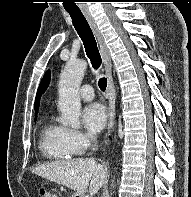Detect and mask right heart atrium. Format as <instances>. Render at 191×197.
<instances>
[{"mask_svg":"<svg viewBox=\"0 0 191 197\" xmlns=\"http://www.w3.org/2000/svg\"><path fill=\"white\" fill-rule=\"evenodd\" d=\"M65 140L68 149L73 154H82L88 150L94 139L81 131L66 129Z\"/></svg>","mask_w":191,"mask_h":197,"instance_id":"obj_1","label":"right heart atrium"}]
</instances>
